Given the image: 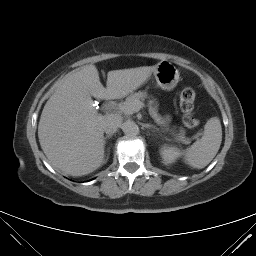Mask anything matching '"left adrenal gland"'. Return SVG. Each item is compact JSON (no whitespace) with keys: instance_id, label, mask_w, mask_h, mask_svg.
<instances>
[{"instance_id":"1","label":"left adrenal gland","mask_w":256,"mask_h":256,"mask_svg":"<svg viewBox=\"0 0 256 256\" xmlns=\"http://www.w3.org/2000/svg\"><path fill=\"white\" fill-rule=\"evenodd\" d=\"M143 127H145V128H153V129L159 130L158 128H155V126L150 125V124H144Z\"/></svg>"}]
</instances>
